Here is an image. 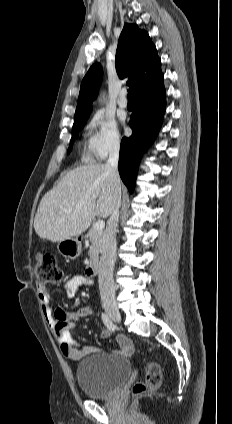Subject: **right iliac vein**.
<instances>
[{
    "label": "right iliac vein",
    "mask_w": 232,
    "mask_h": 424,
    "mask_svg": "<svg viewBox=\"0 0 232 424\" xmlns=\"http://www.w3.org/2000/svg\"><path fill=\"white\" fill-rule=\"evenodd\" d=\"M104 310L114 322H120L121 321V315H120L119 309L116 305H114L112 303H105L104 304Z\"/></svg>",
    "instance_id": "obj_1"
}]
</instances>
